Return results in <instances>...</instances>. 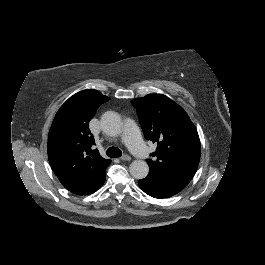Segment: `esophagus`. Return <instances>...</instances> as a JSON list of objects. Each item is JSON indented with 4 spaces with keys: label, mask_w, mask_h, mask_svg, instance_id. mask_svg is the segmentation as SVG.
I'll return each instance as SVG.
<instances>
[{
    "label": "esophagus",
    "mask_w": 265,
    "mask_h": 265,
    "mask_svg": "<svg viewBox=\"0 0 265 265\" xmlns=\"http://www.w3.org/2000/svg\"><path fill=\"white\" fill-rule=\"evenodd\" d=\"M120 160H121V161H130V160H131V157L128 156V155H122V156L120 157Z\"/></svg>",
    "instance_id": "esophagus-1"
}]
</instances>
